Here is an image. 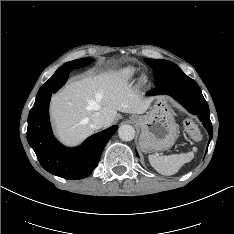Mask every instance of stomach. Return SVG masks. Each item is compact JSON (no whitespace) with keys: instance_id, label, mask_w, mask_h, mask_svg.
<instances>
[{"instance_id":"1","label":"stomach","mask_w":234,"mask_h":234,"mask_svg":"<svg viewBox=\"0 0 234 234\" xmlns=\"http://www.w3.org/2000/svg\"><path fill=\"white\" fill-rule=\"evenodd\" d=\"M131 120L141 128L139 145L144 152L167 150L177 139L178 126L165 98H158L145 115Z\"/></svg>"}]
</instances>
